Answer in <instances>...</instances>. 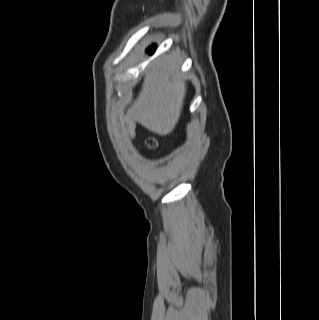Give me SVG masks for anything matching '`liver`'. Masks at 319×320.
Returning <instances> with one entry per match:
<instances>
[{
    "mask_svg": "<svg viewBox=\"0 0 319 320\" xmlns=\"http://www.w3.org/2000/svg\"><path fill=\"white\" fill-rule=\"evenodd\" d=\"M185 94L186 81L179 74V65L169 59L154 61L128 114L149 131L167 135L180 118Z\"/></svg>",
    "mask_w": 319,
    "mask_h": 320,
    "instance_id": "6515ba94",
    "label": "liver"
}]
</instances>
